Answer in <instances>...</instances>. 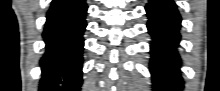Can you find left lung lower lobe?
<instances>
[{
    "label": "left lung lower lobe",
    "instance_id": "left-lung-lower-lobe-1",
    "mask_svg": "<svg viewBox=\"0 0 220 91\" xmlns=\"http://www.w3.org/2000/svg\"><path fill=\"white\" fill-rule=\"evenodd\" d=\"M147 28L152 37L150 72L155 91H180L184 87L178 53L181 17L172 0H149Z\"/></svg>",
    "mask_w": 220,
    "mask_h": 91
}]
</instances>
